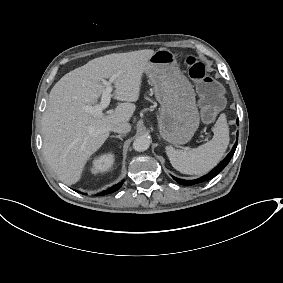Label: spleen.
I'll return each instance as SVG.
<instances>
[{
	"mask_svg": "<svg viewBox=\"0 0 283 283\" xmlns=\"http://www.w3.org/2000/svg\"><path fill=\"white\" fill-rule=\"evenodd\" d=\"M209 142L188 151L166 146V154L172 166L181 173L203 175L213 169L224 156L230 138L226 115L220 114Z\"/></svg>",
	"mask_w": 283,
	"mask_h": 283,
	"instance_id": "spleen-1",
	"label": "spleen"
}]
</instances>
